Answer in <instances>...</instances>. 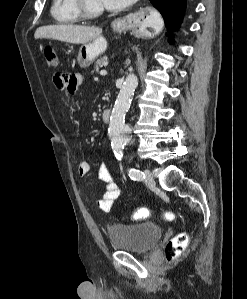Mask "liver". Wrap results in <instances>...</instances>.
<instances>
[{
  "label": "liver",
  "mask_w": 247,
  "mask_h": 299,
  "mask_svg": "<svg viewBox=\"0 0 247 299\" xmlns=\"http://www.w3.org/2000/svg\"><path fill=\"white\" fill-rule=\"evenodd\" d=\"M99 27L79 26L71 24L47 25L39 27L35 39H54L72 44H86L101 36Z\"/></svg>",
  "instance_id": "liver-1"
}]
</instances>
